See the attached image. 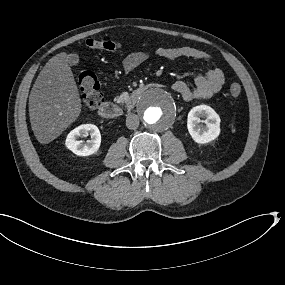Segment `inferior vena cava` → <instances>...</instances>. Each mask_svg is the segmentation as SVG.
Listing matches in <instances>:
<instances>
[{"mask_svg":"<svg viewBox=\"0 0 285 285\" xmlns=\"http://www.w3.org/2000/svg\"><path fill=\"white\" fill-rule=\"evenodd\" d=\"M126 126L132 130L137 129L139 127V117L136 114H129L126 118Z\"/></svg>","mask_w":285,"mask_h":285,"instance_id":"inferior-vena-cava-1","label":"inferior vena cava"}]
</instances>
